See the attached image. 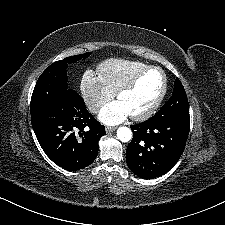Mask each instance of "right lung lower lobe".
<instances>
[{
    "label": "right lung lower lobe",
    "mask_w": 225,
    "mask_h": 225,
    "mask_svg": "<svg viewBox=\"0 0 225 225\" xmlns=\"http://www.w3.org/2000/svg\"><path fill=\"white\" fill-rule=\"evenodd\" d=\"M31 123L45 154L67 170L90 165L105 135V127L87 111L76 92L31 112Z\"/></svg>",
    "instance_id": "1"
}]
</instances>
